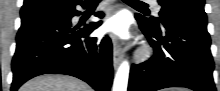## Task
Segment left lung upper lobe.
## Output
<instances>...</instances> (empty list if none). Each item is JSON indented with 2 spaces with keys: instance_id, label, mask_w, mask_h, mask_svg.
Returning a JSON list of instances; mask_svg holds the SVG:
<instances>
[{
  "instance_id": "obj_1",
  "label": "left lung upper lobe",
  "mask_w": 220,
  "mask_h": 91,
  "mask_svg": "<svg viewBox=\"0 0 220 91\" xmlns=\"http://www.w3.org/2000/svg\"><path fill=\"white\" fill-rule=\"evenodd\" d=\"M158 3L162 6L160 18L147 19L152 25L159 26V22L163 24L170 18H185L207 23L204 0H158Z\"/></svg>"
}]
</instances>
